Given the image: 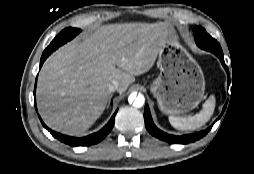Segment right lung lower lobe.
<instances>
[{
  "mask_svg": "<svg viewBox=\"0 0 254 174\" xmlns=\"http://www.w3.org/2000/svg\"><path fill=\"white\" fill-rule=\"evenodd\" d=\"M67 41H69L68 38H62V39L58 40L57 42H55L54 45L52 47H50L51 49L45 50L43 52L41 60H40V68H41L42 64L44 63V61L46 60V58L53 51H55L59 46L63 45ZM35 89H36V84H35ZM35 89H34V98H35ZM35 109L37 111L36 105H35ZM117 111L118 110H116V112L113 114V116L111 117L109 122L99 132L91 134L89 136L82 137V138L70 137V136H66V135L57 133V132L51 130L50 128H48L43 123L42 119L40 117L39 118L42 122V125L52 134V136H54L61 142L66 143L71 146H89V145H93V144L100 142L112 130V128L114 126L115 115H116Z\"/></svg>",
  "mask_w": 254,
  "mask_h": 174,
  "instance_id": "98d812e1",
  "label": "right lung lower lobe"
}]
</instances>
